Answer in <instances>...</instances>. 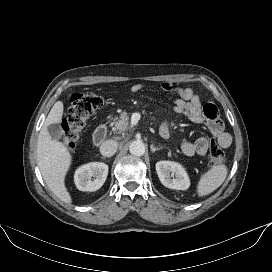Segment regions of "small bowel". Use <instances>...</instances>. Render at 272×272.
<instances>
[{
    "instance_id": "c3829d8e",
    "label": "small bowel",
    "mask_w": 272,
    "mask_h": 272,
    "mask_svg": "<svg viewBox=\"0 0 272 272\" xmlns=\"http://www.w3.org/2000/svg\"><path fill=\"white\" fill-rule=\"evenodd\" d=\"M144 88L145 85L143 83H136L130 87V91L138 93ZM161 89L164 92L176 94L177 97L173 100L172 107L175 113L183 114L194 123L204 124L220 146L223 148L230 146L231 137L225 132L224 124L219 118L217 107L213 103L202 105L200 97L190 87L183 88L164 82L161 84ZM159 132L163 138L169 137L170 130L167 121L162 122ZM209 145V139L201 136L195 141H182L181 150L186 156L198 155L204 157L207 154Z\"/></svg>"
}]
</instances>
